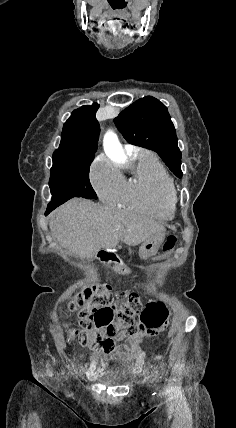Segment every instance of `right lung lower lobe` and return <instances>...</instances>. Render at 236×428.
I'll list each match as a JSON object with an SVG mask.
<instances>
[{"label": "right lung lower lobe", "mask_w": 236, "mask_h": 428, "mask_svg": "<svg viewBox=\"0 0 236 428\" xmlns=\"http://www.w3.org/2000/svg\"><path fill=\"white\" fill-rule=\"evenodd\" d=\"M56 207L52 206V207H47L46 213L45 215L49 214L52 210H54Z\"/></svg>", "instance_id": "obj_1"}]
</instances>
